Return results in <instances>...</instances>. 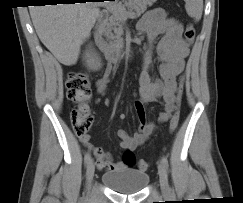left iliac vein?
<instances>
[{
	"instance_id": "4c4485c4",
	"label": "left iliac vein",
	"mask_w": 243,
	"mask_h": 203,
	"mask_svg": "<svg viewBox=\"0 0 243 203\" xmlns=\"http://www.w3.org/2000/svg\"><path fill=\"white\" fill-rule=\"evenodd\" d=\"M158 174H159V182L161 186V191L164 195H167L170 191L168 185V176L167 171L162 162H158Z\"/></svg>"
}]
</instances>
